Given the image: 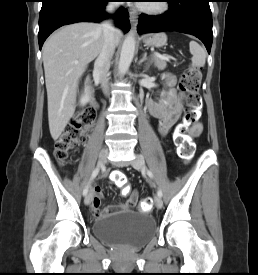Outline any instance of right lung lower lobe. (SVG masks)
<instances>
[{"mask_svg": "<svg viewBox=\"0 0 258 275\" xmlns=\"http://www.w3.org/2000/svg\"><path fill=\"white\" fill-rule=\"evenodd\" d=\"M112 0H42L39 15V48L46 38L57 28L75 22H100L109 17L104 11ZM116 25L128 32L129 14L120 8L115 15Z\"/></svg>", "mask_w": 258, "mask_h": 275, "instance_id": "right-lung-lower-lobe-1", "label": "right lung lower lobe"}]
</instances>
